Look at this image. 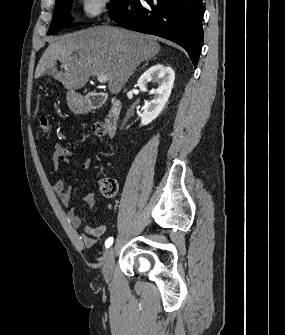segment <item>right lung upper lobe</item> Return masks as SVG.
I'll return each instance as SVG.
<instances>
[{"label":"right lung upper lobe","instance_id":"right-lung-upper-lobe-1","mask_svg":"<svg viewBox=\"0 0 285 335\" xmlns=\"http://www.w3.org/2000/svg\"><path fill=\"white\" fill-rule=\"evenodd\" d=\"M60 0H56V3L59 2Z\"/></svg>","mask_w":285,"mask_h":335}]
</instances>
